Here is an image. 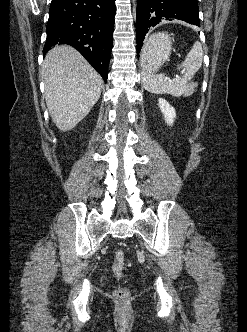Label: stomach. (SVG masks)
Returning <instances> with one entry per match:
<instances>
[{"label": "stomach", "mask_w": 247, "mask_h": 332, "mask_svg": "<svg viewBox=\"0 0 247 332\" xmlns=\"http://www.w3.org/2000/svg\"><path fill=\"white\" fill-rule=\"evenodd\" d=\"M172 42L166 33L151 35L142 49L140 63L147 74L157 72L171 55Z\"/></svg>", "instance_id": "stomach-1"}]
</instances>
